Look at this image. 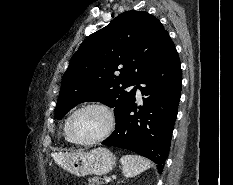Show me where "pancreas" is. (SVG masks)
<instances>
[{
  "mask_svg": "<svg viewBox=\"0 0 233 185\" xmlns=\"http://www.w3.org/2000/svg\"><path fill=\"white\" fill-rule=\"evenodd\" d=\"M102 178L99 177V176H95V177H92V178H89V185H102Z\"/></svg>",
  "mask_w": 233,
  "mask_h": 185,
  "instance_id": "pancreas-1",
  "label": "pancreas"
}]
</instances>
